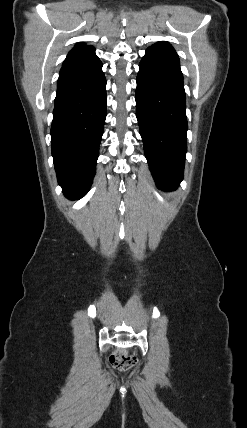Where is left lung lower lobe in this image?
I'll list each match as a JSON object with an SVG mask.
<instances>
[{"instance_id":"left-lung-lower-lobe-1","label":"left lung lower lobe","mask_w":247,"mask_h":428,"mask_svg":"<svg viewBox=\"0 0 247 428\" xmlns=\"http://www.w3.org/2000/svg\"><path fill=\"white\" fill-rule=\"evenodd\" d=\"M136 117L158 188L175 190L187 151L186 96L177 54L149 47L139 64Z\"/></svg>"}]
</instances>
